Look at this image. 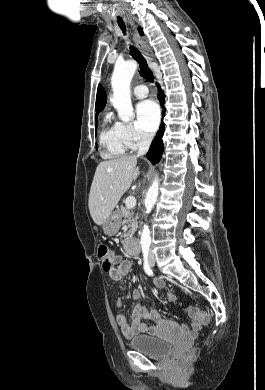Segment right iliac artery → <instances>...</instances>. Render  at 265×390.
Wrapping results in <instances>:
<instances>
[{"label":"right iliac artery","mask_w":265,"mask_h":390,"mask_svg":"<svg viewBox=\"0 0 265 390\" xmlns=\"http://www.w3.org/2000/svg\"><path fill=\"white\" fill-rule=\"evenodd\" d=\"M148 253H149V247H143V256H144V270L147 275L153 276V271L148 263Z\"/></svg>","instance_id":"1"}]
</instances>
